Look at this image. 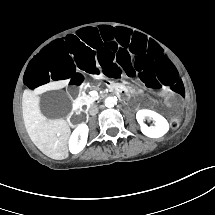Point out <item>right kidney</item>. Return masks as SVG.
<instances>
[{"label": "right kidney", "mask_w": 215, "mask_h": 215, "mask_svg": "<svg viewBox=\"0 0 215 215\" xmlns=\"http://www.w3.org/2000/svg\"><path fill=\"white\" fill-rule=\"evenodd\" d=\"M78 129V133L75 136L74 132ZM72 133L69 139V150L72 154H77L82 151L87 143L89 128L85 123L80 124ZM80 135V141L78 142V136Z\"/></svg>", "instance_id": "1"}]
</instances>
